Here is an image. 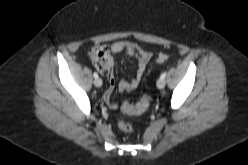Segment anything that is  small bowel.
I'll return each mask as SVG.
<instances>
[{
    "label": "small bowel",
    "instance_id": "1",
    "mask_svg": "<svg viewBox=\"0 0 248 165\" xmlns=\"http://www.w3.org/2000/svg\"><path fill=\"white\" fill-rule=\"evenodd\" d=\"M110 48L113 54L129 52L137 58L138 66L135 76L130 81H121L118 84L116 82L112 68L103 72L108 81V86L105 92L106 98L108 99L116 87L120 92H129L137 88L152 57V53L150 51L143 49L137 44L127 41H116L111 44Z\"/></svg>",
    "mask_w": 248,
    "mask_h": 165
}]
</instances>
